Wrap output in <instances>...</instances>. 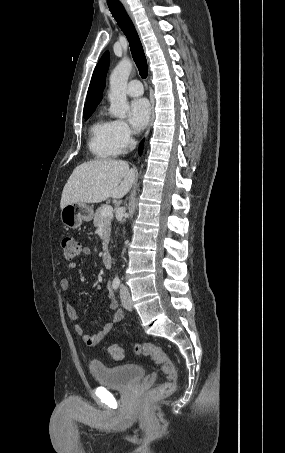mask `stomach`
I'll return each mask as SVG.
<instances>
[{
  "label": "stomach",
  "mask_w": 285,
  "mask_h": 453,
  "mask_svg": "<svg viewBox=\"0 0 285 453\" xmlns=\"http://www.w3.org/2000/svg\"><path fill=\"white\" fill-rule=\"evenodd\" d=\"M93 217V209L84 202L66 205L61 209L60 219L66 228L76 229L83 222H88Z\"/></svg>",
  "instance_id": "obj_1"
}]
</instances>
